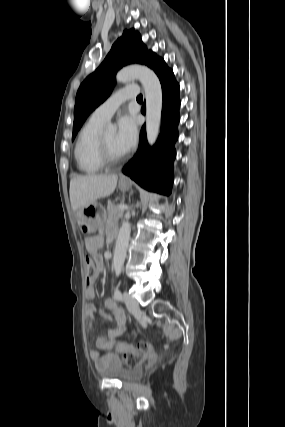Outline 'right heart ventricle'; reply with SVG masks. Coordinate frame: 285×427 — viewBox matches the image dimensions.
Returning <instances> with one entry per match:
<instances>
[{
    "label": "right heart ventricle",
    "instance_id": "e07e8e85",
    "mask_svg": "<svg viewBox=\"0 0 285 427\" xmlns=\"http://www.w3.org/2000/svg\"><path fill=\"white\" fill-rule=\"evenodd\" d=\"M104 123L91 117L78 134L74 159L78 170L84 174L99 173L104 167L97 156V142Z\"/></svg>",
    "mask_w": 285,
    "mask_h": 427
}]
</instances>
